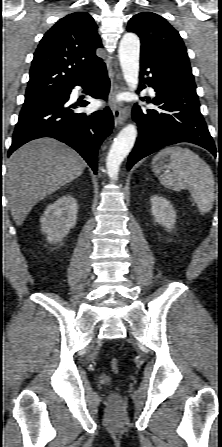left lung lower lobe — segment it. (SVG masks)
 <instances>
[{
	"instance_id": "1",
	"label": "left lung lower lobe",
	"mask_w": 222,
	"mask_h": 447,
	"mask_svg": "<svg viewBox=\"0 0 222 447\" xmlns=\"http://www.w3.org/2000/svg\"><path fill=\"white\" fill-rule=\"evenodd\" d=\"M140 77L149 75L148 83L156 91V109H133L139 137L128 158V170L143 157L179 142H190L209 150L216 157V147L200 113L196 88L147 58H140ZM144 100V98H141Z\"/></svg>"
}]
</instances>
